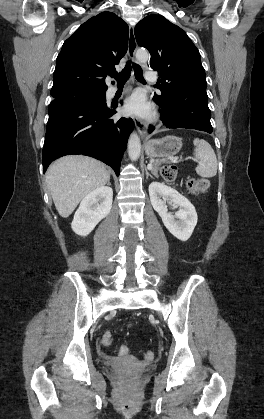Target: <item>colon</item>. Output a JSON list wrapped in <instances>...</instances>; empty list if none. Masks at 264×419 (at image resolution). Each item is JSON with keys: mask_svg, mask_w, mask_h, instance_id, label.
Masks as SVG:
<instances>
[{"mask_svg": "<svg viewBox=\"0 0 264 419\" xmlns=\"http://www.w3.org/2000/svg\"><path fill=\"white\" fill-rule=\"evenodd\" d=\"M177 174L178 168L176 165H166L161 170V175L166 181H173L177 177ZM187 187L193 193L204 192L209 187V181L205 178L190 179L187 182ZM102 342L105 346H110L112 343L111 333H105L102 337ZM125 351L128 352V349ZM144 357L148 361L153 360L154 353L152 351H147L144 353Z\"/></svg>", "mask_w": 264, "mask_h": 419, "instance_id": "colon-1", "label": "colon"}]
</instances>
